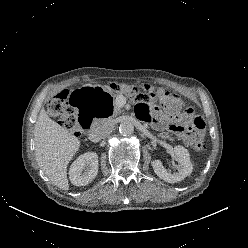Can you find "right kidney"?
<instances>
[{
    "instance_id": "1",
    "label": "right kidney",
    "mask_w": 248,
    "mask_h": 248,
    "mask_svg": "<svg viewBox=\"0 0 248 248\" xmlns=\"http://www.w3.org/2000/svg\"><path fill=\"white\" fill-rule=\"evenodd\" d=\"M98 173V155L88 152L80 155L70 166L69 178L75 186L89 184Z\"/></svg>"
}]
</instances>
